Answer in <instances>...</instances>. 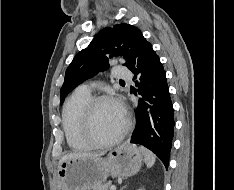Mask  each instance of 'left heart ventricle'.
Listing matches in <instances>:
<instances>
[{
    "label": "left heart ventricle",
    "instance_id": "left-heart-ventricle-1",
    "mask_svg": "<svg viewBox=\"0 0 234 190\" xmlns=\"http://www.w3.org/2000/svg\"><path fill=\"white\" fill-rule=\"evenodd\" d=\"M125 124L124 114L113 102L99 105L94 112L92 130L99 140H107L121 131Z\"/></svg>",
    "mask_w": 234,
    "mask_h": 190
}]
</instances>
